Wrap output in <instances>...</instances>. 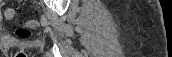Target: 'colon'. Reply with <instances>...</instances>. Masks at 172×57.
Returning a JSON list of instances; mask_svg holds the SVG:
<instances>
[{"label":"colon","instance_id":"colon-1","mask_svg":"<svg viewBox=\"0 0 172 57\" xmlns=\"http://www.w3.org/2000/svg\"><path fill=\"white\" fill-rule=\"evenodd\" d=\"M16 16V11L12 8H8L4 10V17L7 19H13ZM36 27L35 22H29L25 25L19 26L15 33L16 36L21 40V41H26L30 38L32 29ZM26 52L23 49L18 50L15 53V57H26Z\"/></svg>","mask_w":172,"mask_h":57}]
</instances>
